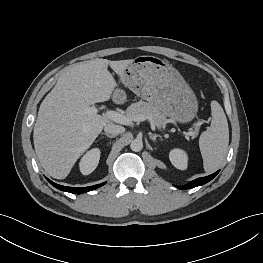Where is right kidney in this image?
I'll list each match as a JSON object with an SVG mask.
<instances>
[{
    "instance_id": "ca27d5eb",
    "label": "right kidney",
    "mask_w": 263,
    "mask_h": 263,
    "mask_svg": "<svg viewBox=\"0 0 263 263\" xmlns=\"http://www.w3.org/2000/svg\"><path fill=\"white\" fill-rule=\"evenodd\" d=\"M100 159V150L98 148H93L88 151L79 163L80 171L83 175H89L98 166Z\"/></svg>"
}]
</instances>
